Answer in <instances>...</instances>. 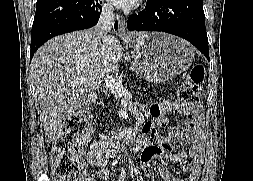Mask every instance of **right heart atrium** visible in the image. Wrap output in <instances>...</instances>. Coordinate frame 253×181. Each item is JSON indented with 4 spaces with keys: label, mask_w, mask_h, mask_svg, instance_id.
<instances>
[{
    "label": "right heart atrium",
    "mask_w": 253,
    "mask_h": 181,
    "mask_svg": "<svg viewBox=\"0 0 253 181\" xmlns=\"http://www.w3.org/2000/svg\"><path fill=\"white\" fill-rule=\"evenodd\" d=\"M103 8L106 11H111L112 10V7H111V5L108 2H106V3L103 4Z\"/></svg>",
    "instance_id": "obj_1"
}]
</instances>
